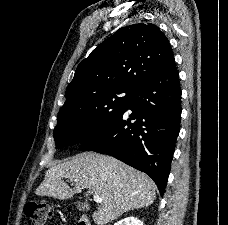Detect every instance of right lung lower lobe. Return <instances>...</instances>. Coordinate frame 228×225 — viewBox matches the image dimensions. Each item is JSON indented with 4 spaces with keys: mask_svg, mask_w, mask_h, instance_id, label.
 <instances>
[{
    "mask_svg": "<svg viewBox=\"0 0 228 225\" xmlns=\"http://www.w3.org/2000/svg\"><path fill=\"white\" fill-rule=\"evenodd\" d=\"M181 88L174 57L138 85L124 107L79 150L107 153L148 174L161 196L180 129Z\"/></svg>",
    "mask_w": 228,
    "mask_h": 225,
    "instance_id": "right-lung-lower-lobe-1",
    "label": "right lung lower lobe"
}]
</instances>
